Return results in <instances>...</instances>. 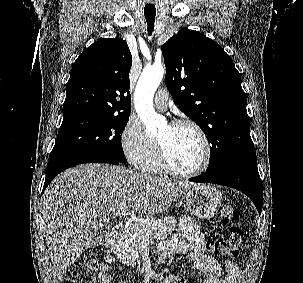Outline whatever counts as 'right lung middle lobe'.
<instances>
[{
	"instance_id": "right-lung-middle-lobe-1",
	"label": "right lung middle lobe",
	"mask_w": 303,
	"mask_h": 283,
	"mask_svg": "<svg viewBox=\"0 0 303 283\" xmlns=\"http://www.w3.org/2000/svg\"><path fill=\"white\" fill-rule=\"evenodd\" d=\"M128 119L94 113L63 117L49 161L63 157L101 156L126 163L120 134Z\"/></svg>"
}]
</instances>
